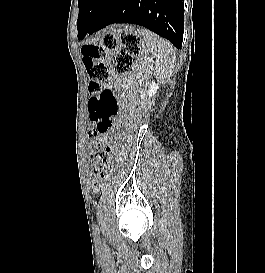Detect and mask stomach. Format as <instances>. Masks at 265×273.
Listing matches in <instances>:
<instances>
[{"instance_id": "1", "label": "stomach", "mask_w": 265, "mask_h": 273, "mask_svg": "<svg viewBox=\"0 0 265 273\" xmlns=\"http://www.w3.org/2000/svg\"><path fill=\"white\" fill-rule=\"evenodd\" d=\"M140 25H113V30H140Z\"/></svg>"}]
</instances>
